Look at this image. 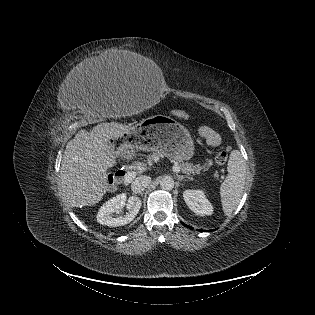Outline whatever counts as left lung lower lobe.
Instances as JSON below:
<instances>
[{
	"mask_svg": "<svg viewBox=\"0 0 315 315\" xmlns=\"http://www.w3.org/2000/svg\"><path fill=\"white\" fill-rule=\"evenodd\" d=\"M183 225L186 226V227H188V228H190V229H192V227H190V226H188V225H186V224H184V223H183ZM199 231H206V230H200V229H199ZM211 231H212V230H211ZM208 232H210V231H208Z\"/></svg>",
	"mask_w": 315,
	"mask_h": 315,
	"instance_id": "1",
	"label": "left lung lower lobe"
}]
</instances>
